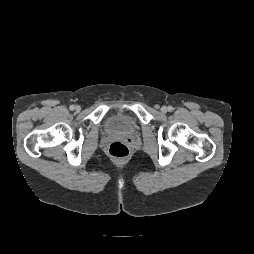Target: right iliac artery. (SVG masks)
Listing matches in <instances>:
<instances>
[{
	"instance_id": "82829eb1",
	"label": "right iliac artery",
	"mask_w": 254,
	"mask_h": 254,
	"mask_svg": "<svg viewBox=\"0 0 254 254\" xmlns=\"http://www.w3.org/2000/svg\"><path fill=\"white\" fill-rule=\"evenodd\" d=\"M75 109V106L74 105H71L70 106V110H74Z\"/></svg>"
}]
</instances>
